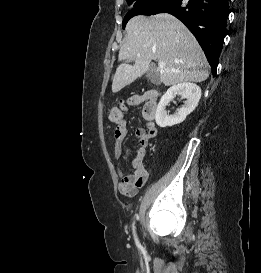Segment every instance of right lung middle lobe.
<instances>
[{"instance_id":"dd1d6c3e","label":"right lung middle lobe","mask_w":261,"mask_h":273,"mask_svg":"<svg viewBox=\"0 0 261 273\" xmlns=\"http://www.w3.org/2000/svg\"><path fill=\"white\" fill-rule=\"evenodd\" d=\"M162 1H165V0H127L128 4L131 5L133 9L126 14L123 21V28L125 27L129 19H131L132 17L136 15L142 14L143 9L157 2H162Z\"/></svg>"}]
</instances>
